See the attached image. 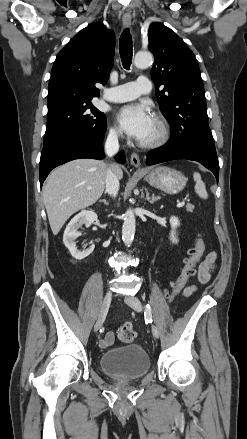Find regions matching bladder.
Instances as JSON below:
<instances>
[{"mask_svg":"<svg viewBox=\"0 0 247 439\" xmlns=\"http://www.w3.org/2000/svg\"><path fill=\"white\" fill-rule=\"evenodd\" d=\"M100 366L109 377L118 381H133L145 376L150 358L143 347L130 344L111 348L100 357Z\"/></svg>","mask_w":247,"mask_h":439,"instance_id":"1","label":"bladder"}]
</instances>
